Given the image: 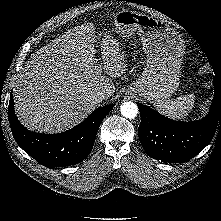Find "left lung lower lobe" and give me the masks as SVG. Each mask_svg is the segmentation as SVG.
<instances>
[{
    "instance_id": "obj_1",
    "label": "left lung lower lobe",
    "mask_w": 221,
    "mask_h": 221,
    "mask_svg": "<svg viewBox=\"0 0 221 221\" xmlns=\"http://www.w3.org/2000/svg\"><path fill=\"white\" fill-rule=\"evenodd\" d=\"M214 98L207 116L178 122L137 103L141 114L138 136L145 152L161 162L184 163L197 155L221 127V83L213 80Z\"/></svg>"
}]
</instances>
